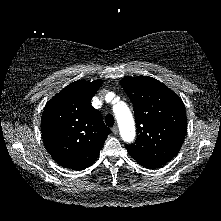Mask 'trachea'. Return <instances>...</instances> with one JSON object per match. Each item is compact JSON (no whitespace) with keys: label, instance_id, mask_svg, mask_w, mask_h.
<instances>
[{"label":"trachea","instance_id":"3493384b","mask_svg":"<svg viewBox=\"0 0 221 221\" xmlns=\"http://www.w3.org/2000/svg\"><path fill=\"white\" fill-rule=\"evenodd\" d=\"M115 119L113 117V115L108 114L105 117V123L108 127H112L114 125Z\"/></svg>","mask_w":221,"mask_h":221}]
</instances>
